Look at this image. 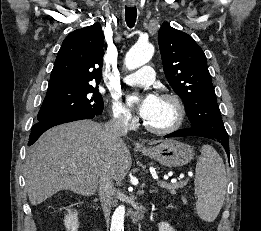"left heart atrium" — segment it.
Segmentation results:
<instances>
[{
    "instance_id": "obj_1",
    "label": "left heart atrium",
    "mask_w": 261,
    "mask_h": 231,
    "mask_svg": "<svg viewBox=\"0 0 261 231\" xmlns=\"http://www.w3.org/2000/svg\"><path fill=\"white\" fill-rule=\"evenodd\" d=\"M158 99L159 98L154 94H147L144 97L132 94L128 96L127 100L129 105L136 108L137 112L143 119H148L153 112Z\"/></svg>"
}]
</instances>
